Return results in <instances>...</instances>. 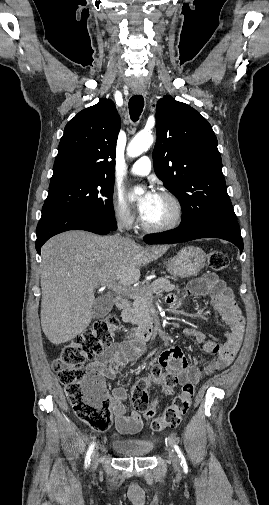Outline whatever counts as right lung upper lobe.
Returning <instances> with one entry per match:
<instances>
[{"instance_id":"1","label":"right lung upper lobe","mask_w":269,"mask_h":505,"mask_svg":"<svg viewBox=\"0 0 269 505\" xmlns=\"http://www.w3.org/2000/svg\"><path fill=\"white\" fill-rule=\"evenodd\" d=\"M120 118L110 99L79 112L60 140L49 188L80 181L114 180Z\"/></svg>"}]
</instances>
